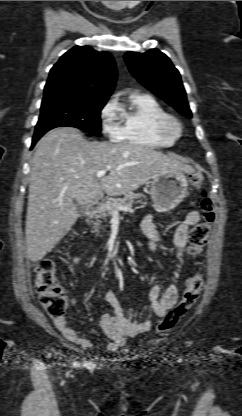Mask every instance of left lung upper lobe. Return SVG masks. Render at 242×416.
Instances as JSON below:
<instances>
[{
	"label": "left lung upper lobe",
	"mask_w": 242,
	"mask_h": 416,
	"mask_svg": "<svg viewBox=\"0 0 242 416\" xmlns=\"http://www.w3.org/2000/svg\"><path fill=\"white\" fill-rule=\"evenodd\" d=\"M124 59L132 75L143 86L184 116L192 117L179 71L164 53L158 49L145 53L127 52Z\"/></svg>",
	"instance_id": "5c2ea615"
}]
</instances>
